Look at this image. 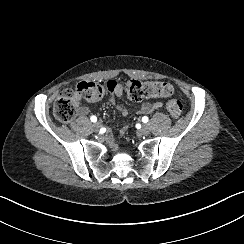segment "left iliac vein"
<instances>
[{
	"label": "left iliac vein",
	"instance_id": "1",
	"mask_svg": "<svg viewBox=\"0 0 244 244\" xmlns=\"http://www.w3.org/2000/svg\"><path fill=\"white\" fill-rule=\"evenodd\" d=\"M139 132H140L142 135H148V134L150 133V128H149V126H148L147 124H144V125L140 128Z\"/></svg>",
	"mask_w": 244,
	"mask_h": 244
}]
</instances>
